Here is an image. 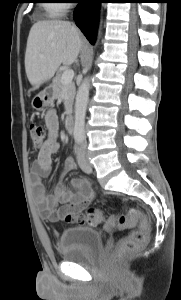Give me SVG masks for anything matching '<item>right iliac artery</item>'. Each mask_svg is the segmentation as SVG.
<instances>
[{
    "instance_id": "1",
    "label": "right iliac artery",
    "mask_w": 181,
    "mask_h": 300,
    "mask_svg": "<svg viewBox=\"0 0 181 300\" xmlns=\"http://www.w3.org/2000/svg\"><path fill=\"white\" fill-rule=\"evenodd\" d=\"M79 142H80L79 140L76 141V144H75V147H74L75 154H78V152L80 150L79 149Z\"/></svg>"
}]
</instances>
